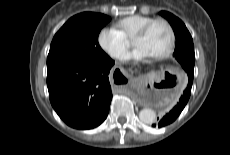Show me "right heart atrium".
Masks as SVG:
<instances>
[{
	"instance_id": "obj_1",
	"label": "right heart atrium",
	"mask_w": 230,
	"mask_h": 155,
	"mask_svg": "<svg viewBox=\"0 0 230 155\" xmlns=\"http://www.w3.org/2000/svg\"><path fill=\"white\" fill-rule=\"evenodd\" d=\"M101 50L112 59H120L129 47V41L115 27L102 28L97 36Z\"/></svg>"
}]
</instances>
